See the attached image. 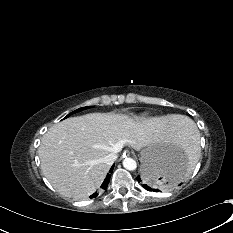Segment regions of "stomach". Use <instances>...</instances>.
<instances>
[{"instance_id": "stomach-1", "label": "stomach", "mask_w": 233, "mask_h": 233, "mask_svg": "<svg viewBox=\"0 0 233 233\" xmlns=\"http://www.w3.org/2000/svg\"><path fill=\"white\" fill-rule=\"evenodd\" d=\"M140 154L141 177L152 186H169L185 174L188 164L176 148L162 147L154 141L144 146Z\"/></svg>"}]
</instances>
